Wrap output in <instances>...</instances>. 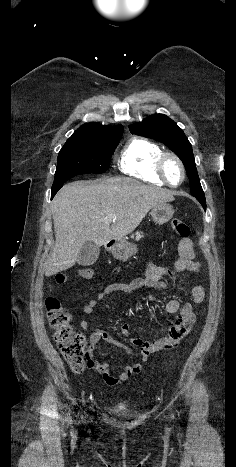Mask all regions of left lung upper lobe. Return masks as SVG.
I'll list each match as a JSON object with an SVG mask.
<instances>
[{"mask_svg":"<svg viewBox=\"0 0 236 467\" xmlns=\"http://www.w3.org/2000/svg\"><path fill=\"white\" fill-rule=\"evenodd\" d=\"M133 134L155 139L169 147L183 162L191 194L194 197H205L196 170L192 147L181 128L169 117L163 114L149 116L140 123L130 125Z\"/></svg>","mask_w":236,"mask_h":467,"instance_id":"obj_1","label":"left lung upper lobe"}]
</instances>
